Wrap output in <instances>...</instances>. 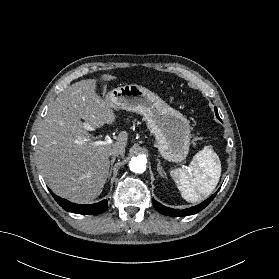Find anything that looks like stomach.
I'll list each match as a JSON object with an SVG mask.
<instances>
[{"label":"stomach","mask_w":279,"mask_h":279,"mask_svg":"<svg viewBox=\"0 0 279 279\" xmlns=\"http://www.w3.org/2000/svg\"><path fill=\"white\" fill-rule=\"evenodd\" d=\"M109 96L115 107L144 116L164 159L175 163L186 159L191 134L189 122L182 113L154 92L137 84L114 88Z\"/></svg>","instance_id":"1"}]
</instances>
